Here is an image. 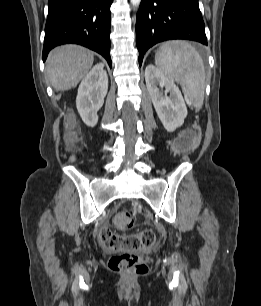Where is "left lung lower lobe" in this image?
<instances>
[{
  "instance_id": "1",
  "label": "left lung lower lobe",
  "mask_w": 261,
  "mask_h": 306,
  "mask_svg": "<svg viewBox=\"0 0 261 306\" xmlns=\"http://www.w3.org/2000/svg\"><path fill=\"white\" fill-rule=\"evenodd\" d=\"M171 39H188L207 45L198 0H142L136 22L139 65L150 47Z\"/></svg>"
}]
</instances>
